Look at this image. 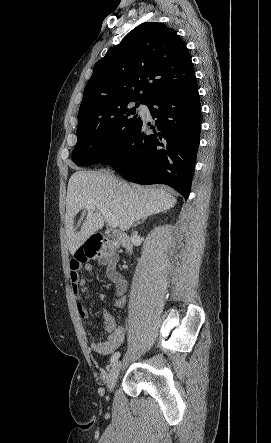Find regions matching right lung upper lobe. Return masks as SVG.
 Segmentation results:
<instances>
[{"mask_svg":"<svg viewBox=\"0 0 271 443\" xmlns=\"http://www.w3.org/2000/svg\"><path fill=\"white\" fill-rule=\"evenodd\" d=\"M195 79L191 56L177 33L157 22L140 24L95 64L78 119L102 117L133 101L147 104Z\"/></svg>","mask_w":271,"mask_h":443,"instance_id":"obj_1","label":"right lung upper lobe"}]
</instances>
